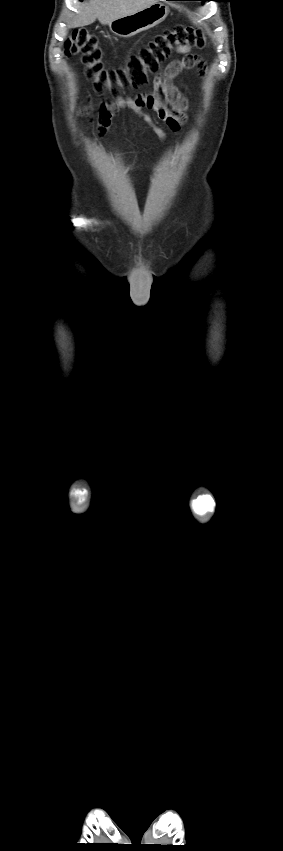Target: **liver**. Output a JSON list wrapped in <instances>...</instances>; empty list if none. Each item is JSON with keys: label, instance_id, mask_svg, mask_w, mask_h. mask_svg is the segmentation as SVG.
<instances>
[{"label": "liver", "instance_id": "6515ba94", "mask_svg": "<svg viewBox=\"0 0 283 851\" xmlns=\"http://www.w3.org/2000/svg\"><path fill=\"white\" fill-rule=\"evenodd\" d=\"M158 0H90L69 23V28L92 24L96 19L106 25L142 10Z\"/></svg>", "mask_w": 283, "mask_h": 851}]
</instances>
